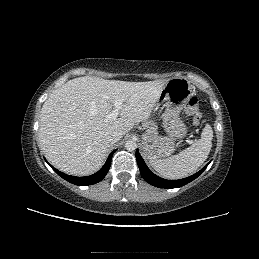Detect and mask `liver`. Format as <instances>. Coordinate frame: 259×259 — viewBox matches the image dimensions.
Listing matches in <instances>:
<instances>
[{
	"mask_svg": "<svg viewBox=\"0 0 259 259\" xmlns=\"http://www.w3.org/2000/svg\"><path fill=\"white\" fill-rule=\"evenodd\" d=\"M168 80L127 82L98 77L69 80L53 91L41 110L39 144L50 163L75 176L97 172L109 148L111 131L122 135L146 121ZM123 101L119 118H108Z\"/></svg>",
	"mask_w": 259,
	"mask_h": 259,
	"instance_id": "liver-1",
	"label": "liver"
}]
</instances>
